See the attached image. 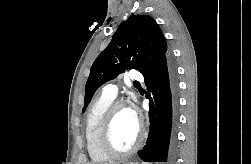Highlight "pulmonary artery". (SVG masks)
I'll return each instance as SVG.
<instances>
[{
    "mask_svg": "<svg viewBox=\"0 0 251 164\" xmlns=\"http://www.w3.org/2000/svg\"><path fill=\"white\" fill-rule=\"evenodd\" d=\"M130 79L140 81L143 79V76L138 71H132L130 73ZM117 86L114 84H108L103 88V94L112 98H115L117 95Z\"/></svg>",
    "mask_w": 251,
    "mask_h": 164,
    "instance_id": "1",
    "label": "pulmonary artery"
}]
</instances>
